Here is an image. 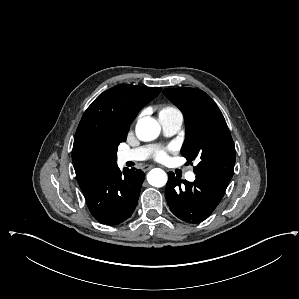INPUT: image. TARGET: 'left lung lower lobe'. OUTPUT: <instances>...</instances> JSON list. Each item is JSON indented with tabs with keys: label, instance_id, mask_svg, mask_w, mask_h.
I'll list each match as a JSON object with an SVG mask.
<instances>
[{
	"label": "left lung lower lobe",
	"instance_id": "obj_1",
	"mask_svg": "<svg viewBox=\"0 0 299 299\" xmlns=\"http://www.w3.org/2000/svg\"><path fill=\"white\" fill-rule=\"evenodd\" d=\"M166 200L172 213L188 223H199L211 215L221 201L226 188L205 176L194 182L181 180L169 172Z\"/></svg>",
	"mask_w": 299,
	"mask_h": 299
}]
</instances>
